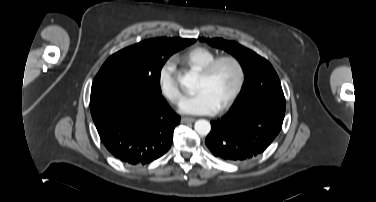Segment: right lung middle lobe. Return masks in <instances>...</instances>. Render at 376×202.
Here are the masks:
<instances>
[{
	"mask_svg": "<svg viewBox=\"0 0 376 202\" xmlns=\"http://www.w3.org/2000/svg\"><path fill=\"white\" fill-rule=\"evenodd\" d=\"M195 39H148L111 55L96 75L91 91L106 87L139 88L161 94L160 73L175 52Z\"/></svg>",
	"mask_w": 376,
	"mask_h": 202,
	"instance_id": "obj_1",
	"label": "right lung middle lobe"
}]
</instances>
